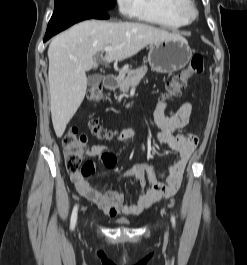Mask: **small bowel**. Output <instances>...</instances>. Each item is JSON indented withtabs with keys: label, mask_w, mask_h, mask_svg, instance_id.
Instances as JSON below:
<instances>
[{
	"label": "small bowel",
	"mask_w": 247,
	"mask_h": 265,
	"mask_svg": "<svg viewBox=\"0 0 247 265\" xmlns=\"http://www.w3.org/2000/svg\"><path fill=\"white\" fill-rule=\"evenodd\" d=\"M165 109L166 104L159 102L154 111V121L160 129L155 137L159 143L167 145L178 156L177 161L170 168L165 182L156 179L154 170L149 163L141 162L132 165L121 175V178H133L139 185L140 193L135 203L126 204L123 193L110 189H97L86 181V176L71 175L77 192L93 202L107 216L138 215L157 201L173 196L180 188L185 168L199 140L196 135H184L176 132L189 123L194 104L187 101L170 116L165 114ZM134 135V131L125 130L117 136V140L128 142ZM87 155L89 158H98L100 163L108 169L116 165V156L103 145H94ZM90 163L92 162L90 161Z\"/></svg>",
	"instance_id": "c3829d8e"
}]
</instances>
